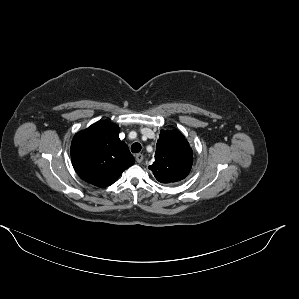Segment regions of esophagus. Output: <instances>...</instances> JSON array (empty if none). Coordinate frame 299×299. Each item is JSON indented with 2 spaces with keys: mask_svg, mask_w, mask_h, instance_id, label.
Returning a JSON list of instances; mask_svg holds the SVG:
<instances>
[{
  "mask_svg": "<svg viewBox=\"0 0 299 299\" xmlns=\"http://www.w3.org/2000/svg\"><path fill=\"white\" fill-rule=\"evenodd\" d=\"M143 155L142 154H136L135 159L137 161V163H141L143 161Z\"/></svg>",
  "mask_w": 299,
  "mask_h": 299,
  "instance_id": "obj_1",
  "label": "esophagus"
}]
</instances>
